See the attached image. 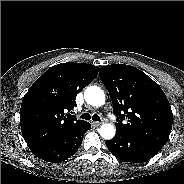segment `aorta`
Segmentation results:
<instances>
[{
    "label": "aorta",
    "instance_id": "762f6f07",
    "mask_svg": "<svg viewBox=\"0 0 184 184\" xmlns=\"http://www.w3.org/2000/svg\"><path fill=\"white\" fill-rule=\"evenodd\" d=\"M85 100L92 106L100 107L105 103V94L101 88L97 86L87 87L84 92ZM100 136L106 140L115 136V127L113 124H104L99 129Z\"/></svg>",
    "mask_w": 184,
    "mask_h": 184
}]
</instances>
